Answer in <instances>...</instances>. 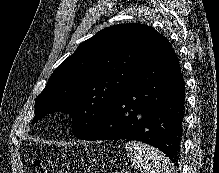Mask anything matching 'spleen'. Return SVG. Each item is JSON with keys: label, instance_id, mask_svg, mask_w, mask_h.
<instances>
[{"label": "spleen", "instance_id": "spleen-1", "mask_svg": "<svg viewBox=\"0 0 219 173\" xmlns=\"http://www.w3.org/2000/svg\"><path fill=\"white\" fill-rule=\"evenodd\" d=\"M124 148L141 173H174V165L159 150L139 141H127Z\"/></svg>", "mask_w": 219, "mask_h": 173}]
</instances>
